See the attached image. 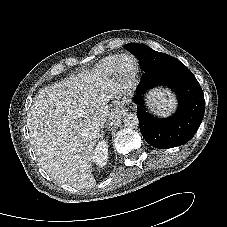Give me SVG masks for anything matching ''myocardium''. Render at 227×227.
Wrapping results in <instances>:
<instances>
[{
	"mask_svg": "<svg viewBox=\"0 0 227 227\" xmlns=\"http://www.w3.org/2000/svg\"><path fill=\"white\" fill-rule=\"evenodd\" d=\"M132 61L131 67L125 66L126 60ZM116 73L117 75L124 81L131 83L136 80L138 77L139 71H140V65L137 57L133 54H123L120 56L117 67H116Z\"/></svg>",
	"mask_w": 227,
	"mask_h": 227,
	"instance_id": "1",
	"label": "myocardium"
}]
</instances>
